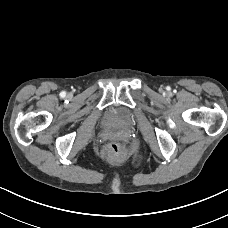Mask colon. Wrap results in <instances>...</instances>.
<instances>
[{"mask_svg":"<svg viewBox=\"0 0 228 228\" xmlns=\"http://www.w3.org/2000/svg\"><path fill=\"white\" fill-rule=\"evenodd\" d=\"M105 151L110 155H118L122 151V147L117 142H110L106 145Z\"/></svg>","mask_w":228,"mask_h":228,"instance_id":"5ec220e1","label":"colon"}]
</instances>
